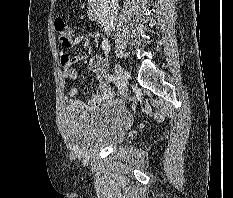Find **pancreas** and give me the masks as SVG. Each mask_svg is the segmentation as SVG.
<instances>
[{
    "instance_id": "pancreas-1",
    "label": "pancreas",
    "mask_w": 233,
    "mask_h": 198,
    "mask_svg": "<svg viewBox=\"0 0 233 198\" xmlns=\"http://www.w3.org/2000/svg\"><path fill=\"white\" fill-rule=\"evenodd\" d=\"M97 0H88V3L91 4L93 2H96Z\"/></svg>"
}]
</instances>
